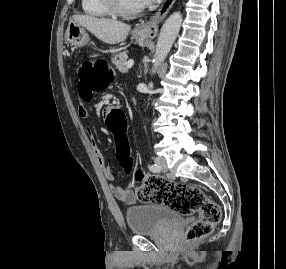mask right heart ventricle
I'll return each mask as SVG.
<instances>
[{
  "label": "right heart ventricle",
  "mask_w": 286,
  "mask_h": 269,
  "mask_svg": "<svg viewBox=\"0 0 286 269\" xmlns=\"http://www.w3.org/2000/svg\"><path fill=\"white\" fill-rule=\"evenodd\" d=\"M83 12L94 18H107L111 15L102 5L101 0H81Z\"/></svg>",
  "instance_id": "e07e8e85"
}]
</instances>
